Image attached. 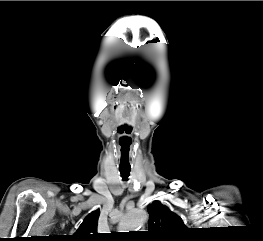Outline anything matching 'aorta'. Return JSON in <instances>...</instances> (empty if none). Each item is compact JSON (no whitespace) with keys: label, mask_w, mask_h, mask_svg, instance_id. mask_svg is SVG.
Wrapping results in <instances>:
<instances>
[{"label":"aorta","mask_w":263,"mask_h":241,"mask_svg":"<svg viewBox=\"0 0 263 241\" xmlns=\"http://www.w3.org/2000/svg\"><path fill=\"white\" fill-rule=\"evenodd\" d=\"M147 214L144 210L133 209L129 211L121 220L120 228L122 230H137L139 229L146 221Z\"/></svg>","instance_id":"obj_1"}]
</instances>
